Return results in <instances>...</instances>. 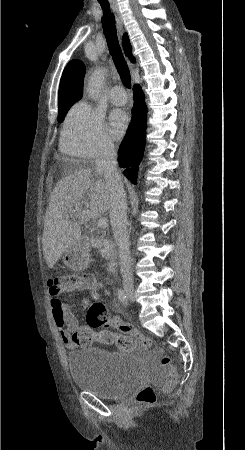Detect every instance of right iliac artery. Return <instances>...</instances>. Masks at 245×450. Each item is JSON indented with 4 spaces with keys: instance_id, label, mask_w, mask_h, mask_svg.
Here are the masks:
<instances>
[{
    "instance_id": "right-iliac-artery-1",
    "label": "right iliac artery",
    "mask_w": 245,
    "mask_h": 450,
    "mask_svg": "<svg viewBox=\"0 0 245 450\" xmlns=\"http://www.w3.org/2000/svg\"><path fill=\"white\" fill-rule=\"evenodd\" d=\"M117 294H118L119 300L122 303L126 304L127 303V296L125 295L124 291L122 289H119Z\"/></svg>"
}]
</instances>
